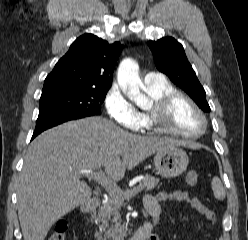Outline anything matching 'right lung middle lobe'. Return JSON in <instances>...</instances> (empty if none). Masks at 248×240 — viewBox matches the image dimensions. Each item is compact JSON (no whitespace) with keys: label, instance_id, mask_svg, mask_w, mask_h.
Returning a JSON list of instances; mask_svg holds the SVG:
<instances>
[{"label":"right lung middle lobe","instance_id":"obj_1","mask_svg":"<svg viewBox=\"0 0 248 240\" xmlns=\"http://www.w3.org/2000/svg\"><path fill=\"white\" fill-rule=\"evenodd\" d=\"M108 90L59 88L42 92L40 117H78L100 115V105Z\"/></svg>","mask_w":248,"mask_h":240}]
</instances>
